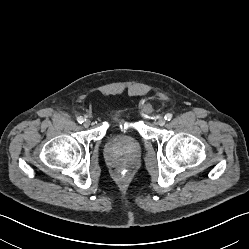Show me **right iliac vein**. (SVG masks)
Wrapping results in <instances>:
<instances>
[{
	"mask_svg": "<svg viewBox=\"0 0 249 249\" xmlns=\"http://www.w3.org/2000/svg\"><path fill=\"white\" fill-rule=\"evenodd\" d=\"M90 123H91V122H90L89 119H85L84 122H83V126L87 128V127L90 126Z\"/></svg>",
	"mask_w": 249,
	"mask_h": 249,
	"instance_id": "63e3f726",
	"label": "right iliac vein"
}]
</instances>
